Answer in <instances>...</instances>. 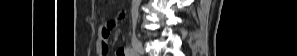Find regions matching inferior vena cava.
I'll list each match as a JSON object with an SVG mask.
<instances>
[{"instance_id":"1","label":"inferior vena cava","mask_w":297,"mask_h":56,"mask_svg":"<svg viewBox=\"0 0 297 56\" xmlns=\"http://www.w3.org/2000/svg\"><path fill=\"white\" fill-rule=\"evenodd\" d=\"M138 3L139 0H133L132 4V24L135 27L138 18Z\"/></svg>"}]
</instances>
